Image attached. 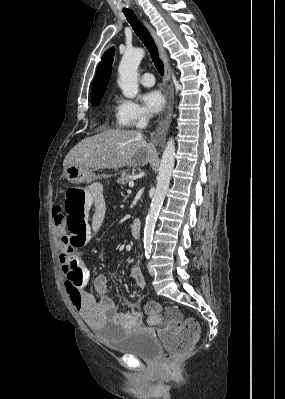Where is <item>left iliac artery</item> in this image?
<instances>
[{"label":"left iliac artery","mask_w":285,"mask_h":399,"mask_svg":"<svg viewBox=\"0 0 285 399\" xmlns=\"http://www.w3.org/2000/svg\"><path fill=\"white\" fill-rule=\"evenodd\" d=\"M150 253H151V248H149V247H145V257L147 258V259H149L150 258Z\"/></svg>","instance_id":"left-iliac-artery-1"}]
</instances>
